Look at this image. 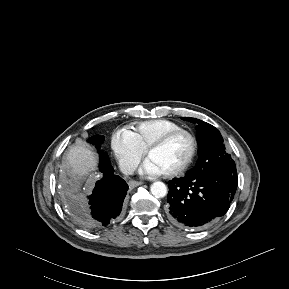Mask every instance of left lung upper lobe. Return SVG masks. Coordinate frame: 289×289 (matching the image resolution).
I'll return each mask as SVG.
<instances>
[{"label": "left lung upper lobe", "mask_w": 289, "mask_h": 289, "mask_svg": "<svg viewBox=\"0 0 289 289\" xmlns=\"http://www.w3.org/2000/svg\"><path fill=\"white\" fill-rule=\"evenodd\" d=\"M183 120L197 123V141L199 159L190 172L209 171L219 166H226L236 173V166L231 156L226 153L220 132L211 124L196 118L183 117Z\"/></svg>", "instance_id": "5c2ea615"}]
</instances>
